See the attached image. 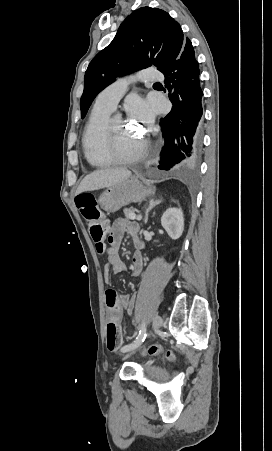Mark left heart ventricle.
<instances>
[{"mask_svg": "<svg viewBox=\"0 0 272 451\" xmlns=\"http://www.w3.org/2000/svg\"><path fill=\"white\" fill-rule=\"evenodd\" d=\"M126 122L121 118H115L112 122V131L115 144L123 151H126L135 142V136L132 132L125 130Z\"/></svg>", "mask_w": 272, "mask_h": 451, "instance_id": "left-heart-ventricle-1", "label": "left heart ventricle"}]
</instances>
